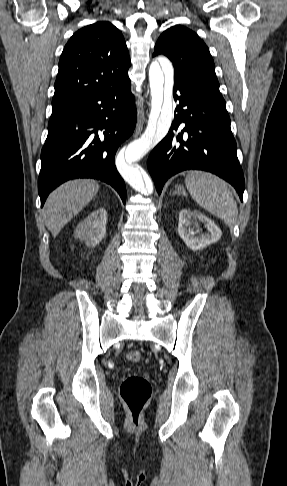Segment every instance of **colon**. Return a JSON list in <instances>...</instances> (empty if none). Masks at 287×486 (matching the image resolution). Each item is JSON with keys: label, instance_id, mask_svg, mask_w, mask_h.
<instances>
[{"label": "colon", "instance_id": "obj_1", "mask_svg": "<svg viewBox=\"0 0 287 486\" xmlns=\"http://www.w3.org/2000/svg\"><path fill=\"white\" fill-rule=\"evenodd\" d=\"M127 360L132 363H138L141 361V353L137 350H132L127 353ZM151 395L152 386L149 380L142 375H130L121 383L120 397L135 425L139 423L142 412L148 404Z\"/></svg>", "mask_w": 287, "mask_h": 486}]
</instances>
